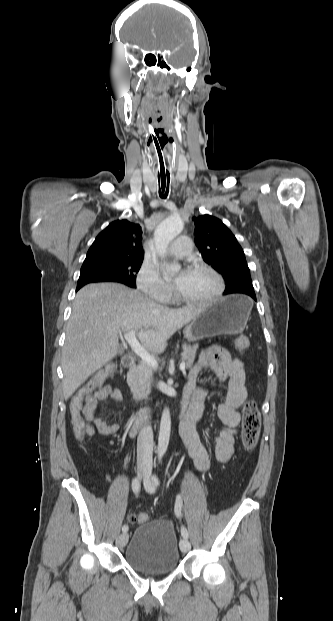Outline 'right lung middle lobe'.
<instances>
[{
  "label": "right lung middle lobe",
  "instance_id": "1",
  "mask_svg": "<svg viewBox=\"0 0 333 621\" xmlns=\"http://www.w3.org/2000/svg\"><path fill=\"white\" fill-rule=\"evenodd\" d=\"M143 259L105 258L85 260L81 267L78 285L92 282H119L135 287Z\"/></svg>",
  "mask_w": 333,
  "mask_h": 621
}]
</instances>
